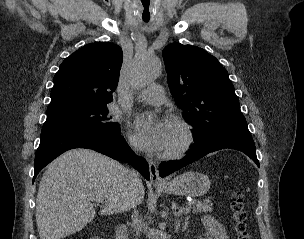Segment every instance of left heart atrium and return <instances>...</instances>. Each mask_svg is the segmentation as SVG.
Returning a JSON list of instances; mask_svg holds the SVG:
<instances>
[{
  "label": "left heart atrium",
  "mask_w": 304,
  "mask_h": 239,
  "mask_svg": "<svg viewBox=\"0 0 304 239\" xmlns=\"http://www.w3.org/2000/svg\"><path fill=\"white\" fill-rule=\"evenodd\" d=\"M173 124L169 119L150 122L144 116H139L132 123V137L143 149L161 152L165 149Z\"/></svg>",
  "instance_id": "left-heart-atrium-1"
}]
</instances>
